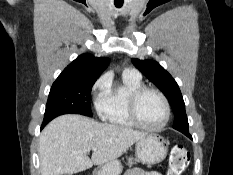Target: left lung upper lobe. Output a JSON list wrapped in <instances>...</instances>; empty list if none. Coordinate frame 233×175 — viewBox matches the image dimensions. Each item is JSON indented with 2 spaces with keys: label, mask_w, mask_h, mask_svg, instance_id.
<instances>
[{
  "label": "left lung upper lobe",
  "mask_w": 233,
  "mask_h": 175,
  "mask_svg": "<svg viewBox=\"0 0 233 175\" xmlns=\"http://www.w3.org/2000/svg\"><path fill=\"white\" fill-rule=\"evenodd\" d=\"M132 63L143 73V75L154 83L169 100L175 115L173 128L182 132L186 136H189L185 104L176 81L156 61L132 59Z\"/></svg>",
  "instance_id": "left-lung-upper-lobe-1"
}]
</instances>
